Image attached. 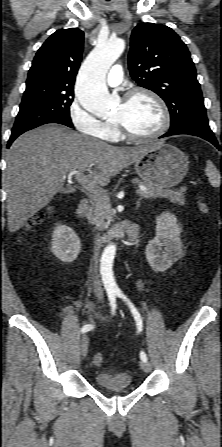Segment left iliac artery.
I'll list each match as a JSON object with an SVG mask.
<instances>
[{
	"instance_id": "obj_1",
	"label": "left iliac artery",
	"mask_w": 222,
	"mask_h": 447,
	"mask_svg": "<svg viewBox=\"0 0 222 447\" xmlns=\"http://www.w3.org/2000/svg\"><path fill=\"white\" fill-rule=\"evenodd\" d=\"M115 294L127 302L128 306L130 307V310L135 318L138 331L141 332L143 329V323H142V318H141L138 310L135 308V306L130 302V300L123 294V292L120 289H116ZM140 358L143 361H147V355L144 351L140 352Z\"/></svg>"
}]
</instances>
